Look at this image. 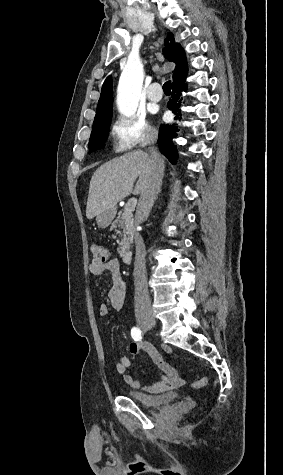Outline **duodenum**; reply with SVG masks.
I'll use <instances>...</instances> for the list:
<instances>
[{"label": "duodenum", "instance_id": "duodenum-1", "mask_svg": "<svg viewBox=\"0 0 283 475\" xmlns=\"http://www.w3.org/2000/svg\"><path fill=\"white\" fill-rule=\"evenodd\" d=\"M121 259L124 263H130L132 260V253L130 251H123L121 254Z\"/></svg>", "mask_w": 283, "mask_h": 475}]
</instances>
